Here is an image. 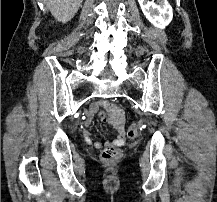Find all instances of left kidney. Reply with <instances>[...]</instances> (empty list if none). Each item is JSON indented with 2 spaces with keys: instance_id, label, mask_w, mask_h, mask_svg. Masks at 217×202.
Returning <instances> with one entry per match:
<instances>
[{
  "instance_id": "5707ae66",
  "label": "left kidney",
  "mask_w": 217,
  "mask_h": 202,
  "mask_svg": "<svg viewBox=\"0 0 217 202\" xmlns=\"http://www.w3.org/2000/svg\"><path fill=\"white\" fill-rule=\"evenodd\" d=\"M138 2L144 16L155 28L164 30L170 24L173 12L167 0H157V4L150 2V0H138Z\"/></svg>"
}]
</instances>
